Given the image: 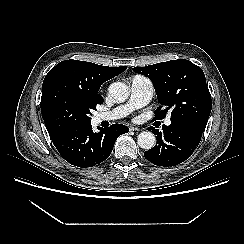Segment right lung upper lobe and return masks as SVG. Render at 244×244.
Wrapping results in <instances>:
<instances>
[{"mask_svg": "<svg viewBox=\"0 0 244 244\" xmlns=\"http://www.w3.org/2000/svg\"><path fill=\"white\" fill-rule=\"evenodd\" d=\"M127 67H108L78 60L58 63L46 75L42 94L52 83H59L74 95L95 104L103 103L98 91L105 81L124 72ZM42 98V97H41Z\"/></svg>", "mask_w": 244, "mask_h": 244, "instance_id": "obj_1", "label": "right lung upper lobe"}]
</instances>
